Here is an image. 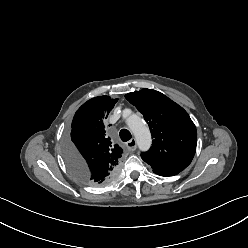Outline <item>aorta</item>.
Wrapping results in <instances>:
<instances>
[{
    "label": "aorta",
    "instance_id": "obj_1",
    "mask_svg": "<svg viewBox=\"0 0 248 248\" xmlns=\"http://www.w3.org/2000/svg\"><path fill=\"white\" fill-rule=\"evenodd\" d=\"M127 125L135 135L139 149L146 151L151 146V134L145 122L137 115L127 118Z\"/></svg>",
    "mask_w": 248,
    "mask_h": 248
}]
</instances>
